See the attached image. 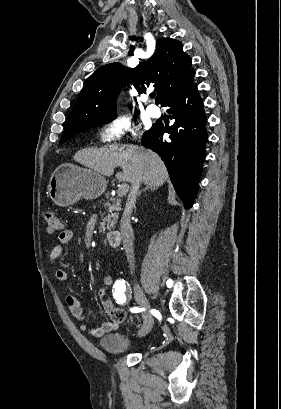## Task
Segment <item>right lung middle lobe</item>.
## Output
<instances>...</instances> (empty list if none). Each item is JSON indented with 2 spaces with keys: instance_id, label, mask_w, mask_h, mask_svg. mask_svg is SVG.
I'll return each instance as SVG.
<instances>
[{
  "instance_id": "right-lung-middle-lobe-1",
  "label": "right lung middle lobe",
  "mask_w": 281,
  "mask_h": 409,
  "mask_svg": "<svg viewBox=\"0 0 281 409\" xmlns=\"http://www.w3.org/2000/svg\"><path fill=\"white\" fill-rule=\"evenodd\" d=\"M115 118H116V115L105 118V119H102V120H99L97 122H94V123L86 125V126L65 128L60 143L62 144L64 142H66L67 140H69L71 137H73L74 135H76L80 131H83V130H86V129L91 128V127H96V126L111 122Z\"/></svg>"
}]
</instances>
